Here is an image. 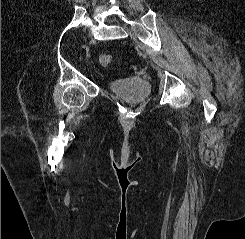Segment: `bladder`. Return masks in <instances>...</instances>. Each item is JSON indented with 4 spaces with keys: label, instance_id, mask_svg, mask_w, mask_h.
Returning <instances> with one entry per match:
<instances>
[{
    "label": "bladder",
    "instance_id": "31cf9c89",
    "mask_svg": "<svg viewBox=\"0 0 245 239\" xmlns=\"http://www.w3.org/2000/svg\"><path fill=\"white\" fill-rule=\"evenodd\" d=\"M109 89L119 97L131 102H143L151 93V85L141 83L134 78L114 80L109 83Z\"/></svg>",
    "mask_w": 245,
    "mask_h": 239
}]
</instances>
